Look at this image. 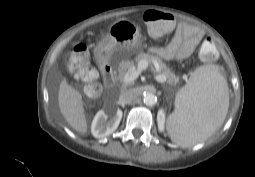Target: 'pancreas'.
Instances as JSON below:
<instances>
[{"label": "pancreas", "instance_id": "obj_1", "mask_svg": "<svg viewBox=\"0 0 255 177\" xmlns=\"http://www.w3.org/2000/svg\"><path fill=\"white\" fill-rule=\"evenodd\" d=\"M141 60H145L148 62V64H154L156 62L158 64V75L164 76L166 78V82L171 85H176L179 82V78L170 71V69L166 66L164 62H162L161 59L158 57H155L153 55H150L148 53H139L134 60H123L119 63L118 67V77L117 79L125 86L124 83V76L125 74L133 67H135V64L138 63ZM130 84V83H129Z\"/></svg>", "mask_w": 255, "mask_h": 177}]
</instances>
